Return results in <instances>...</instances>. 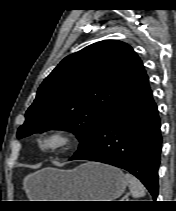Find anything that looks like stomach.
I'll return each mask as SVG.
<instances>
[{
	"instance_id": "1",
	"label": "stomach",
	"mask_w": 176,
	"mask_h": 211,
	"mask_svg": "<svg viewBox=\"0 0 176 211\" xmlns=\"http://www.w3.org/2000/svg\"><path fill=\"white\" fill-rule=\"evenodd\" d=\"M127 184L120 169L96 162L72 170L45 168L25 180L33 201H110L120 197Z\"/></svg>"
}]
</instances>
